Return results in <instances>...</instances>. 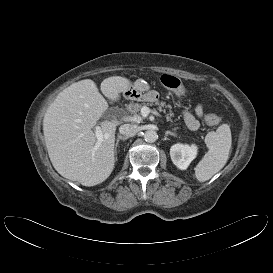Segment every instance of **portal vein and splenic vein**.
Here are the masks:
<instances>
[{
	"label": "portal vein and splenic vein",
	"instance_id": "18ae733b",
	"mask_svg": "<svg viewBox=\"0 0 273 273\" xmlns=\"http://www.w3.org/2000/svg\"><path fill=\"white\" fill-rule=\"evenodd\" d=\"M149 113H150V109L148 107H146V106L142 107V109H141L142 117H144V118L147 117L149 115ZM122 120L127 121V122H137V123H139L141 118L136 117V116H133V117L132 116H127V117H123ZM96 133L98 135V139L102 140V135H101V131H100L99 127L96 129Z\"/></svg>",
	"mask_w": 273,
	"mask_h": 273
}]
</instances>
